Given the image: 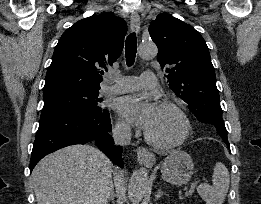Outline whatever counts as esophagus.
<instances>
[{
    "label": "esophagus",
    "instance_id": "obj_1",
    "mask_svg": "<svg viewBox=\"0 0 261 204\" xmlns=\"http://www.w3.org/2000/svg\"><path fill=\"white\" fill-rule=\"evenodd\" d=\"M130 28L133 32L138 33L140 29V17L137 12H133L130 16ZM137 160L139 164L152 167L156 162V157L153 153L145 148L137 149Z\"/></svg>",
    "mask_w": 261,
    "mask_h": 204
}]
</instances>
